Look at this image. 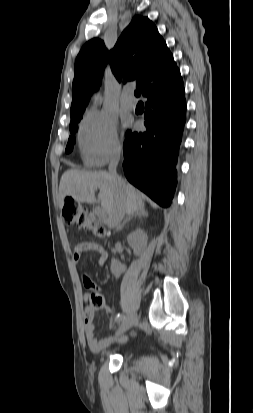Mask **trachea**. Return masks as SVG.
<instances>
[{
  "instance_id": "3493384b",
  "label": "trachea",
  "mask_w": 253,
  "mask_h": 413,
  "mask_svg": "<svg viewBox=\"0 0 253 413\" xmlns=\"http://www.w3.org/2000/svg\"><path fill=\"white\" fill-rule=\"evenodd\" d=\"M134 94H135V96H136V97H139V96L141 95V91H140V90L135 91V93H134Z\"/></svg>"
}]
</instances>
